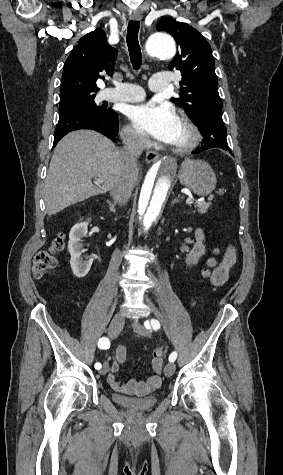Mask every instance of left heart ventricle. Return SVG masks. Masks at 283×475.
Wrapping results in <instances>:
<instances>
[{"instance_id":"b2bd125f","label":"left heart ventricle","mask_w":283,"mask_h":475,"mask_svg":"<svg viewBox=\"0 0 283 475\" xmlns=\"http://www.w3.org/2000/svg\"><path fill=\"white\" fill-rule=\"evenodd\" d=\"M176 137L175 139L170 143L171 145L173 146H178L180 145L186 138V132H185V129L179 119V125H178V128L176 129Z\"/></svg>"}]
</instances>
